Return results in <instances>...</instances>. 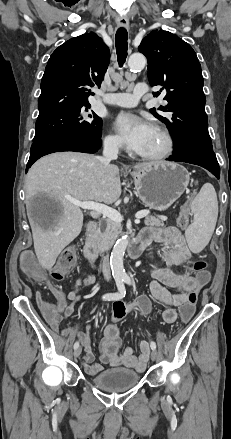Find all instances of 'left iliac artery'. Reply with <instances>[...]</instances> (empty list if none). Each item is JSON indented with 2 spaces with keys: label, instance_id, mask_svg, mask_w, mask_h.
I'll return each instance as SVG.
<instances>
[{
  "label": "left iliac artery",
  "instance_id": "1",
  "mask_svg": "<svg viewBox=\"0 0 231 439\" xmlns=\"http://www.w3.org/2000/svg\"><path fill=\"white\" fill-rule=\"evenodd\" d=\"M123 280H124V282H125L126 284H128V285L131 284V279H130L129 276H127V275L124 276V277H123ZM150 346H151V349H152V350H156V343H155L154 341L151 342Z\"/></svg>",
  "mask_w": 231,
  "mask_h": 439
}]
</instances>
